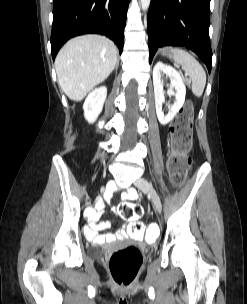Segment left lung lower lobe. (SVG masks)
<instances>
[{"mask_svg": "<svg viewBox=\"0 0 247 304\" xmlns=\"http://www.w3.org/2000/svg\"><path fill=\"white\" fill-rule=\"evenodd\" d=\"M147 24L150 63L158 47L181 45L195 52L210 73V0H151Z\"/></svg>", "mask_w": 247, "mask_h": 304, "instance_id": "0a47b994", "label": "left lung lower lobe"}]
</instances>
